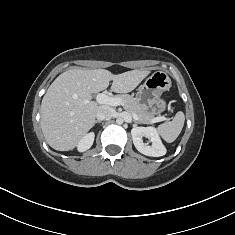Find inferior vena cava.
Listing matches in <instances>:
<instances>
[{
  "label": "inferior vena cava",
  "mask_w": 235,
  "mask_h": 235,
  "mask_svg": "<svg viewBox=\"0 0 235 235\" xmlns=\"http://www.w3.org/2000/svg\"><path fill=\"white\" fill-rule=\"evenodd\" d=\"M113 115V109L108 106H100L96 112V118L99 121L106 120Z\"/></svg>",
  "instance_id": "1"
}]
</instances>
